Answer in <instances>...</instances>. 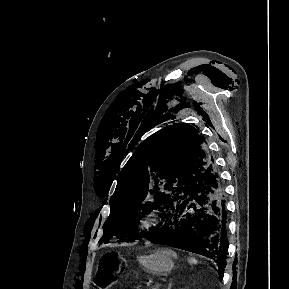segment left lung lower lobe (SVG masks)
<instances>
[{
    "mask_svg": "<svg viewBox=\"0 0 289 289\" xmlns=\"http://www.w3.org/2000/svg\"><path fill=\"white\" fill-rule=\"evenodd\" d=\"M225 195L214 160L204 173L174 197L163 225L149 237L165 244L209 257L222 278L228 249Z\"/></svg>",
    "mask_w": 289,
    "mask_h": 289,
    "instance_id": "1",
    "label": "left lung lower lobe"
}]
</instances>
